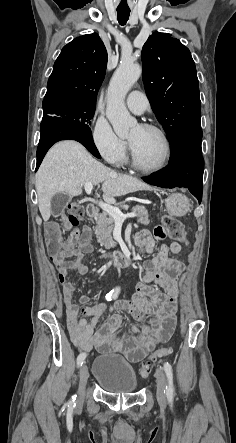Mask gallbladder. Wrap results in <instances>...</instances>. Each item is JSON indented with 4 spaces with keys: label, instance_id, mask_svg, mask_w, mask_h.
I'll use <instances>...</instances> for the list:
<instances>
[{
    "label": "gallbladder",
    "instance_id": "gallbladder-1",
    "mask_svg": "<svg viewBox=\"0 0 236 443\" xmlns=\"http://www.w3.org/2000/svg\"><path fill=\"white\" fill-rule=\"evenodd\" d=\"M71 197L66 193H57L51 199V214L58 217L70 203Z\"/></svg>",
    "mask_w": 236,
    "mask_h": 443
}]
</instances>
